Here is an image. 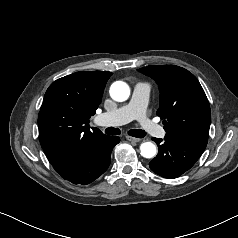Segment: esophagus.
<instances>
[{
  "label": "esophagus",
  "instance_id": "esophagus-1",
  "mask_svg": "<svg viewBox=\"0 0 238 238\" xmlns=\"http://www.w3.org/2000/svg\"><path fill=\"white\" fill-rule=\"evenodd\" d=\"M126 139L128 141H131V142H140L141 141L140 138L132 137V136H129V135L126 136Z\"/></svg>",
  "mask_w": 238,
  "mask_h": 238
}]
</instances>
